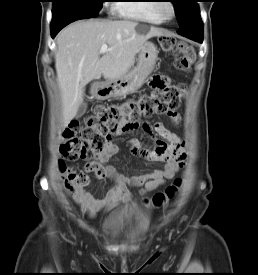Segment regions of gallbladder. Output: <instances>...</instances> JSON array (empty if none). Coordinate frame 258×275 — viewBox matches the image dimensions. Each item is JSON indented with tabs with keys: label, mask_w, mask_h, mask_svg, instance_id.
I'll list each match as a JSON object with an SVG mask.
<instances>
[{
	"label": "gallbladder",
	"mask_w": 258,
	"mask_h": 275,
	"mask_svg": "<svg viewBox=\"0 0 258 275\" xmlns=\"http://www.w3.org/2000/svg\"><path fill=\"white\" fill-rule=\"evenodd\" d=\"M87 110V103L86 102H82L78 108L77 111V117H81Z\"/></svg>",
	"instance_id": "1"
}]
</instances>
